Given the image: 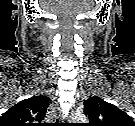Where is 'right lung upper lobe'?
<instances>
[{
    "mask_svg": "<svg viewBox=\"0 0 135 126\" xmlns=\"http://www.w3.org/2000/svg\"><path fill=\"white\" fill-rule=\"evenodd\" d=\"M50 104V98L43 95L22 100L0 117V126H39Z\"/></svg>",
    "mask_w": 135,
    "mask_h": 126,
    "instance_id": "cb5924a9",
    "label": "right lung upper lobe"
}]
</instances>
